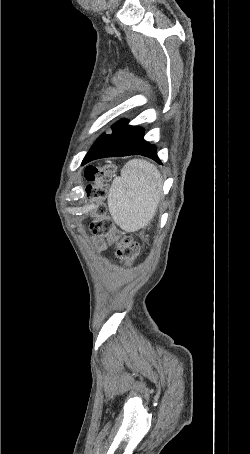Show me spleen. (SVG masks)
Masks as SVG:
<instances>
[{
	"label": "spleen",
	"instance_id": "obj_1",
	"mask_svg": "<svg viewBox=\"0 0 250 454\" xmlns=\"http://www.w3.org/2000/svg\"><path fill=\"white\" fill-rule=\"evenodd\" d=\"M161 187V175L154 165L141 159L128 161L108 194L114 222L126 232L145 228L157 211Z\"/></svg>",
	"mask_w": 250,
	"mask_h": 454
}]
</instances>
